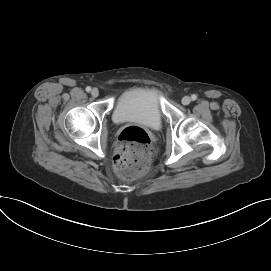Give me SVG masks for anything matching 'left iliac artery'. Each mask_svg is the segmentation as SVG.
<instances>
[{
    "mask_svg": "<svg viewBox=\"0 0 271 271\" xmlns=\"http://www.w3.org/2000/svg\"><path fill=\"white\" fill-rule=\"evenodd\" d=\"M191 99L194 101V100L197 99V96H196L195 94H193V95L191 96Z\"/></svg>",
    "mask_w": 271,
    "mask_h": 271,
    "instance_id": "left-iliac-artery-1",
    "label": "left iliac artery"
}]
</instances>
